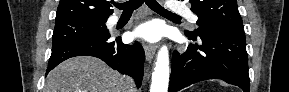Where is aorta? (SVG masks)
Masks as SVG:
<instances>
[{
    "label": "aorta",
    "mask_w": 289,
    "mask_h": 92,
    "mask_svg": "<svg viewBox=\"0 0 289 92\" xmlns=\"http://www.w3.org/2000/svg\"><path fill=\"white\" fill-rule=\"evenodd\" d=\"M169 82V52L162 46L157 54V62L152 73L150 92H167Z\"/></svg>",
    "instance_id": "aorta-1"
}]
</instances>
